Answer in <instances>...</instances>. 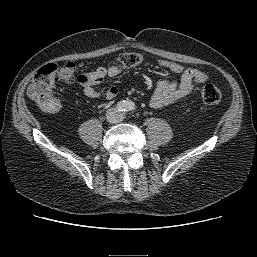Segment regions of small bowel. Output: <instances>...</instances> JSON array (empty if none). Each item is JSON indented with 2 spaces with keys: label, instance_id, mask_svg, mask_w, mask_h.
Instances as JSON below:
<instances>
[{
  "label": "small bowel",
  "instance_id": "obj_1",
  "mask_svg": "<svg viewBox=\"0 0 257 257\" xmlns=\"http://www.w3.org/2000/svg\"><path fill=\"white\" fill-rule=\"evenodd\" d=\"M194 70L192 68L188 69L182 74L179 81L168 78L160 80L150 97V106L155 109L161 108L191 93L195 88V84L199 83L193 76L192 72ZM120 72L121 70L115 65L109 68L99 67L95 71L80 75L79 82L87 97L91 99L113 100L117 96V89L115 87H110L104 92H100L96 89V86L102 83L106 75L116 77Z\"/></svg>",
  "mask_w": 257,
  "mask_h": 257
}]
</instances>
